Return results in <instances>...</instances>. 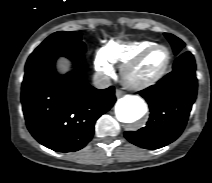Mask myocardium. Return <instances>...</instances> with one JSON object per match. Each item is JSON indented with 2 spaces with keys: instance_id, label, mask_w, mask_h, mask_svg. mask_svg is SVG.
Wrapping results in <instances>:
<instances>
[{
  "instance_id": "f54148a6",
  "label": "myocardium",
  "mask_w": 212,
  "mask_h": 183,
  "mask_svg": "<svg viewBox=\"0 0 212 183\" xmlns=\"http://www.w3.org/2000/svg\"><path fill=\"white\" fill-rule=\"evenodd\" d=\"M157 48H164L167 50L168 53V59L166 64L164 65V67L155 75H153L152 77L141 81V82H134L129 78V75L131 73V71L133 69H135L145 58L146 56L151 53L153 50L157 49ZM172 51L171 49L165 45V44H159L156 43L154 45H151L147 48H145L143 51H141L137 56H135L133 59H131L130 61H128L127 63H125L122 68H121V79L123 84L131 89V90H136V91H141V90H145L153 85H155L159 80H161V78L166 74V72L168 71V69L171 66L172 63Z\"/></svg>"
}]
</instances>
